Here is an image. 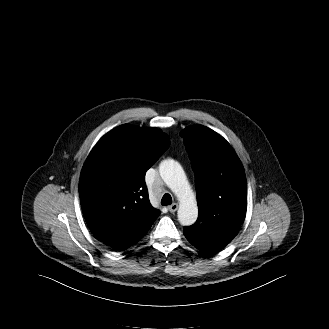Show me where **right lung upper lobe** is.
<instances>
[{"instance_id":"cb5924a9","label":"right lung upper lobe","mask_w":329,"mask_h":329,"mask_svg":"<svg viewBox=\"0 0 329 329\" xmlns=\"http://www.w3.org/2000/svg\"><path fill=\"white\" fill-rule=\"evenodd\" d=\"M169 145L157 128L124 124L90 152L79 181L81 207L89 228L107 246L138 241L159 216L149 201L145 173Z\"/></svg>"}]
</instances>
